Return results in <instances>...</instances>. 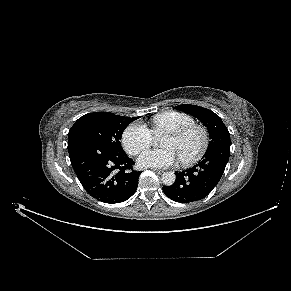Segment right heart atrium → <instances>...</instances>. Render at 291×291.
<instances>
[{
  "instance_id": "d8ad5b80",
  "label": "right heart atrium",
  "mask_w": 291,
  "mask_h": 291,
  "mask_svg": "<svg viewBox=\"0 0 291 291\" xmlns=\"http://www.w3.org/2000/svg\"><path fill=\"white\" fill-rule=\"evenodd\" d=\"M153 141L152 131L141 123L129 125L123 132L122 142L126 151L138 155L147 149Z\"/></svg>"
}]
</instances>
